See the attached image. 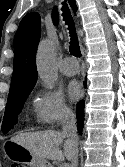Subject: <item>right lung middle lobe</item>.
<instances>
[{
    "label": "right lung middle lobe",
    "instance_id": "1",
    "mask_svg": "<svg viewBox=\"0 0 125 167\" xmlns=\"http://www.w3.org/2000/svg\"><path fill=\"white\" fill-rule=\"evenodd\" d=\"M32 90L24 91L22 93L8 96L5 114L1 130L7 133L11 130L18 121V114L21 112L23 105Z\"/></svg>",
    "mask_w": 125,
    "mask_h": 167
}]
</instances>
